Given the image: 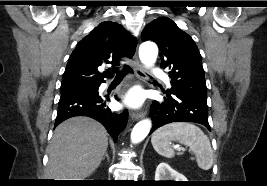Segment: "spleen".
<instances>
[{
	"instance_id": "obj_1",
	"label": "spleen",
	"mask_w": 267,
	"mask_h": 186,
	"mask_svg": "<svg viewBox=\"0 0 267 186\" xmlns=\"http://www.w3.org/2000/svg\"><path fill=\"white\" fill-rule=\"evenodd\" d=\"M171 141L190 147L201 169L212 167L213 150L209 138L199 127L187 122H174L157 129L151 137L155 151L166 158L174 157Z\"/></svg>"
}]
</instances>
